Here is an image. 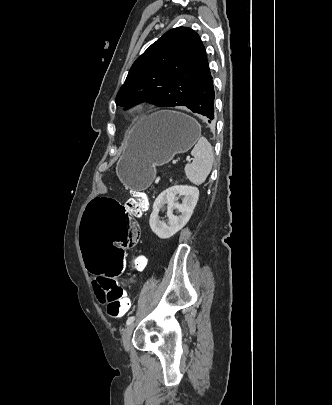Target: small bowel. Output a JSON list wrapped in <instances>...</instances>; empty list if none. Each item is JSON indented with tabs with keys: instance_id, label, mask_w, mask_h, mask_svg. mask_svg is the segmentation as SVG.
Returning <instances> with one entry per match:
<instances>
[{
	"instance_id": "obj_1",
	"label": "small bowel",
	"mask_w": 332,
	"mask_h": 405,
	"mask_svg": "<svg viewBox=\"0 0 332 405\" xmlns=\"http://www.w3.org/2000/svg\"><path fill=\"white\" fill-rule=\"evenodd\" d=\"M134 220H136L135 216H134ZM137 227H139L138 222H137ZM139 237H140V236H139ZM136 244H137V243H136ZM95 290H96V294H97V297L99 298V300H100V301H103V295H102V293L98 290L97 285H95Z\"/></svg>"
}]
</instances>
